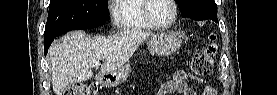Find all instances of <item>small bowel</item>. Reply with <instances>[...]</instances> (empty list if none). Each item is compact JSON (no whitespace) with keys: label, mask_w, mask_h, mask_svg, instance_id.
<instances>
[{"label":"small bowel","mask_w":277,"mask_h":95,"mask_svg":"<svg viewBox=\"0 0 277 95\" xmlns=\"http://www.w3.org/2000/svg\"><path fill=\"white\" fill-rule=\"evenodd\" d=\"M190 77L184 70H176L170 80L164 83L158 95L183 94V95H216L217 92L213 87L204 84L203 79L191 77L199 87V91L193 90L188 86L186 79Z\"/></svg>","instance_id":"small-bowel-1"}]
</instances>
